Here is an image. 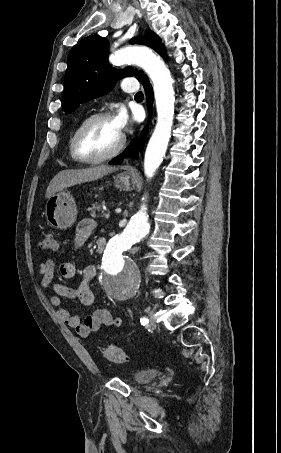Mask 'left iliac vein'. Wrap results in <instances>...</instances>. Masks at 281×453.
I'll return each instance as SVG.
<instances>
[{"instance_id":"obj_1","label":"left iliac vein","mask_w":281,"mask_h":453,"mask_svg":"<svg viewBox=\"0 0 281 453\" xmlns=\"http://www.w3.org/2000/svg\"><path fill=\"white\" fill-rule=\"evenodd\" d=\"M149 316H150V320H151V321H150V323L148 324V327L150 328V331H152V329L156 327V320H157V319H156V317L153 316V313H152V312L150 313Z\"/></svg>"}]
</instances>
